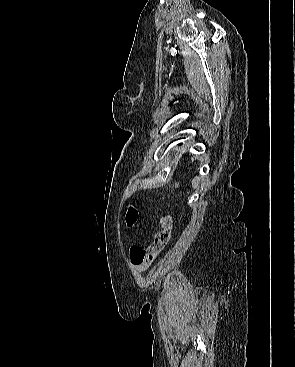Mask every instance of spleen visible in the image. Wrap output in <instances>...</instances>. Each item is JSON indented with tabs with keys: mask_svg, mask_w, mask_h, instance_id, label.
I'll return each mask as SVG.
<instances>
[{
	"mask_svg": "<svg viewBox=\"0 0 295 367\" xmlns=\"http://www.w3.org/2000/svg\"><path fill=\"white\" fill-rule=\"evenodd\" d=\"M198 181H199V179H198V178L193 179V181H192V186H193L194 188H196V187L198 186Z\"/></svg>",
	"mask_w": 295,
	"mask_h": 367,
	"instance_id": "1",
	"label": "spleen"
}]
</instances>
